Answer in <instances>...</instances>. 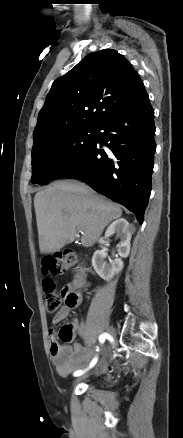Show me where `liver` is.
Instances as JSON below:
<instances>
[{
  "label": "liver",
  "instance_id": "1",
  "mask_svg": "<svg viewBox=\"0 0 183 438\" xmlns=\"http://www.w3.org/2000/svg\"><path fill=\"white\" fill-rule=\"evenodd\" d=\"M39 249L55 253L82 232L81 243L92 246L104 228L122 215L117 204L76 180L56 181L34 197Z\"/></svg>",
  "mask_w": 183,
  "mask_h": 438
}]
</instances>
